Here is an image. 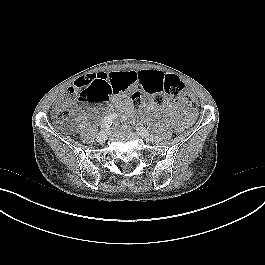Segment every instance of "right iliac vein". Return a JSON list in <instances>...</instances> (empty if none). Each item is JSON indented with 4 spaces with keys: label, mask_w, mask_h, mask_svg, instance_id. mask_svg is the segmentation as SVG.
<instances>
[{
    "label": "right iliac vein",
    "mask_w": 265,
    "mask_h": 265,
    "mask_svg": "<svg viewBox=\"0 0 265 265\" xmlns=\"http://www.w3.org/2000/svg\"><path fill=\"white\" fill-rule=\"evenodd\" d=\"M97 141L100 143H103L107 140V134L104 131H101L98 135H97Z\"/></svg>",
    "instance_id": "right-iliac-vein-1"
}]
</instances>
